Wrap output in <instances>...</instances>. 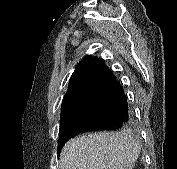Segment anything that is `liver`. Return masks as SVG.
<instances>
[{"label":"liver","mask_w":177,"mask_h":169,"mask_svg":"<svg viewBox=\"0 0 177 169\" xmlns=\"http://www.w3.org/2000/svg\"><path fill=\"white\" fill-rule=\"evenodd\" d=\"M140 152L128 133H91L69 140L59 157L60 169H133Z\"/></svg>","instance_id":"obj_1"}]
</instances>
